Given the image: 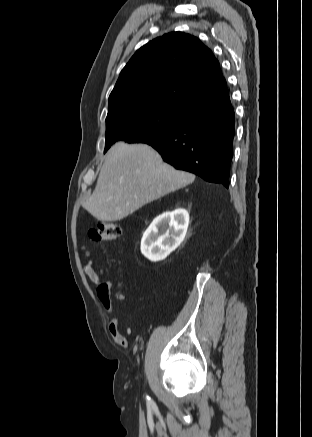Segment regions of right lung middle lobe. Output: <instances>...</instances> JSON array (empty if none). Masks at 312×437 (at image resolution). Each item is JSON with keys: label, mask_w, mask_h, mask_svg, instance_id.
Listing matches in <instances>:
<instances>
[{"label": "right lung middle lobe", "mask_w": 312, "mask_h": 437, "mask_svg": "<svg viewBox=\"0 0 312 437\" xmlns=\"http://www.w3.org/2000/svg\"><path fill=\"white\" fill-rule=\"evenodd\" d=\"M191 112L162 102L133 103L109 112L105 152L117 140L139 143L170 133L184 123Z\"/></svg>", "instance_id": "obj_1"}]
</instances>
